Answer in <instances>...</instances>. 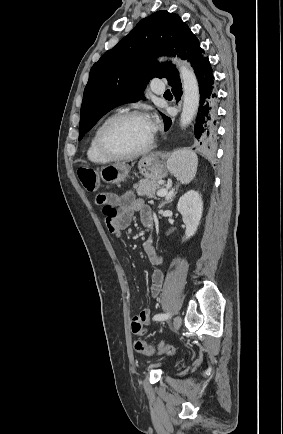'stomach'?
<instances>
[{"label": "stomach", "instance_id": "stomach-1", "mask_svg": "<svg viewBox=\"0 0 283 434\" xmlns=\"http://www.w3.org/2000/svg\"><path fill=\"white\" fill-rule=\"evenodd\" d=\"M140 173L151 181H157L167 176L168 167L157 154H150L143 157L138 163ZM129 173V166L126 163H115L104 166L100 170L101 179L109 184L123 182Z\"/></svg>", "mask_w": 283, "mask_h": 434}]
</instances>
